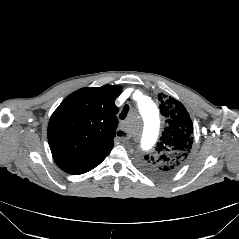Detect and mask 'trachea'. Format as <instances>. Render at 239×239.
<instances>
[{
    "label": "trachea",
    "mask_w": 239,
    "mask_h": 239,
    "mask_svg": "<svg viewBox=\"0 0 239 239\" xmlns=\"http://www.w3.org/2000/svg\"><path fill=\"white\" fill-rule=\"evenodd\" d=\"M128 111H129V106L125 105L122 112L119 115V118L122 119V120L125 119V117L127 116Z\"/></svg>",
    "instance_id": "1"
}]
</instances>
